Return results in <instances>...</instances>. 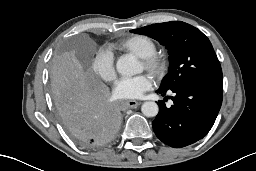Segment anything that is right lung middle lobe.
<instances>
[{"instance_id":"right-lung-middle-lobe-1","label":"right lung middle lobe","mask_w":256,"mask_h":171,"mask_svg":"<svg viewBox=\"0 0 256 171\" xmlns=\"http://www.w3.org/2000/svg\"><path fill=\"white\" fill-rule=\"evenodd\" d=\"M50 82L55 103L81 90V85L65 57H56L52 62Z\"/></svg>"}]
</instances>
